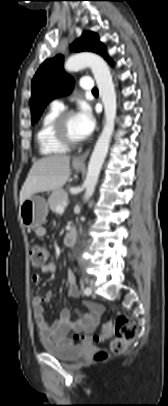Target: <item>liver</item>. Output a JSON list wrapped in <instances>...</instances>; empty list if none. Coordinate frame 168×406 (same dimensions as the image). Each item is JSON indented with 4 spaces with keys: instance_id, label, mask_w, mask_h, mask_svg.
<instances>
[{
    "instance_id": "1",
    "label": "liver",
    "mask_w": 168,
    "mask_h": 406,
    "mask_svg": "<svg viewBox=\"0 0 168 406\" xmlns=\"http://www.w3.org/2000/svg\"><path fill=\"white\" fill-rule=\"evenodd\" d=\"M70 177V157L54 155L36 161L20 191V205L32 195L55 192L62 188Z\"/></svg>"
}]
</instances>
